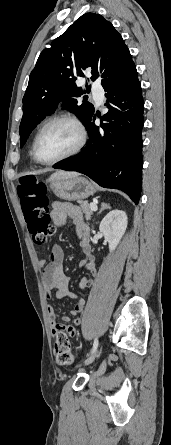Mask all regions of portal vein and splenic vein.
Listing matches in <instances>:
<instances>
[{
	"mask_svg": "<svg viewBox=\"0 0 171 445\" xmlns=\"http://www.w3.org/2000/svg\"><path fill=\"white\" fill-rule=\"evenodd\" d=\"M90 209H91L92 211H96V210H97V203H96V202H92V203L90 204Z\"/></svg>",
	"mask_w": 171,
	"mask_h": 445,
	"instance_id": "18ae733b",
	"label": "portal vein and splenic vein"
}]
</instances>
